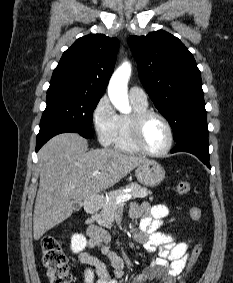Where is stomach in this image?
I'll use <instances>...</instances> for the list:
<instances>
[{"label": "stomach", "instance_id": "stomach-1", "mask_svg": "<svg viewBox=\"0 0 233 283\" xmlns=\"http://www.w3.org/2000/svg\"><path fill=\"white\" fill-rule=\"evenodd\" d=\"M135 175L141 184L155 187L164 180L165 170L158 162L148 160L136 168Z\"/></svg>", "mask_w": 233, "mask_h": 283}]
</instances>
